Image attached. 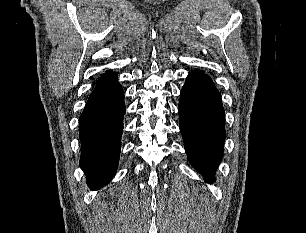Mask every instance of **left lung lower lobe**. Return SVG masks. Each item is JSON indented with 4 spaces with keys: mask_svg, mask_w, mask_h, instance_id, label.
<instances>
[{
    "mask_svg": "<svg viewBox=\"0 0 306 233\" xmlns=\"http://www.w3.org/2000/svg\"><path fill=\"white\" fill-rule=\"evenodd\" d=\"M178 112L189 161L207 182L213 183L223 157L225 113L219 91L203 71L188 75L180 92Z\"/></svg>",
    "mask_w": 306,
    "mask_h": 233,
    "instance_id": "1",
    "label": "left lung lower lobe"
}]
</instances>
